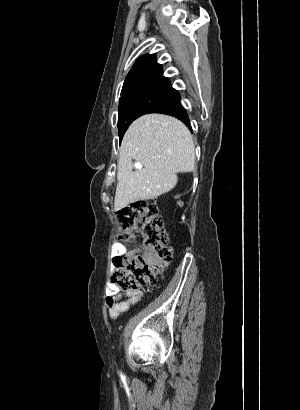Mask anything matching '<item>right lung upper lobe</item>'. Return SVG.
Returning <instances> with one entry per match:
<instances>
[{
	"label": "right lung upper lobe",
	"mask_w": 300,
	"mask_h": 410,
	"mask_svg": "<svg viewBox=\"0 0 300 410\" xmlns=\"http://www.w3.org/2000/svg\"><path fill=\"white\" fill-rule=\"evenodd\" d=\"M169 82L163 76L162 67L156 62L155 55L147 54L137 59L128 73L122 89L136 85Z\"/></svg>",
	"instance_id": "1"
}]
</instances>
